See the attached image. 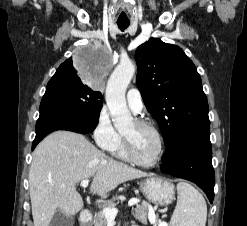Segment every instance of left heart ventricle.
<instances>
[{"label":"left heart ventricle","instance_id":"left-heart-ventricle-1","mask_svg":"<svg viewBox=\"0 0 247 226\" xmlns=\"http://www.w3.org/2000/svg\"><path fill=\"white\" fill-rule=\"evenodd\" d=\"M131 143L135 156L145 162L154 160L159 151V141L155 133L149 128L137 127L132 122L123 130Z\"/></svg>","mask_w":247,"mask_h":226}]
</instances>
